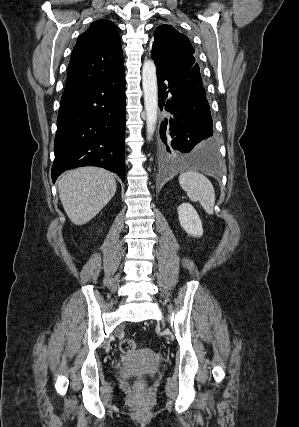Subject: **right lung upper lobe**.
Here are the masks:
<instances>
[{"mask_svg": "<svg viewBox=\"0 0 299 427\" xmlns=\"http://www.w3.org/2000/svg\"><path fill=\"white\" fill-rule=\"evenodd\" d=\"M124 70L116 26L109 20L93 22L72 51L65 92L99 83Z\"/></svg>", "mask_w": 299, "mask_h": 427, "instance_id": "1", "label": "right lung upper lobe"}]
</instances>
